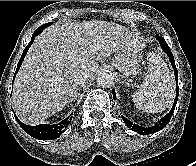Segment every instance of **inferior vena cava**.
<instances>
[{
  "instance_id": "inferior-vena-cava-1",
  "label": "inferior vena cava",
  "mask_w": 196,
  "mask_h": 166,
  "mask_svg": "<svg viewBox=\"0 0 196 166\" xmlns=\"http://www.w3.org/2000/svg\"><path fill=\"white\" fill-rule=\"evenodd\" d=\"M89 78V74L86 72L78 71L74 75V82L76 84H82Z\"/></svg>"
}]
</instances>
